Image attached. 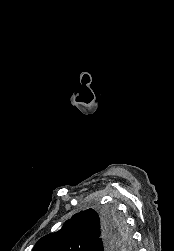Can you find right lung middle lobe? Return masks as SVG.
<instances>
[{
  "instance_id": "right-lung-middle-lobe-1",
  "label": "right lung middle lobe",
  "mask_w": 174,
  "mask_h": 251,
  "mask_svg": "<svg viewBox=\"0 0 174 251\" xmlns=\"http://www.w3.org/2000/svg\"><path fill=\"white\" fill-rule=\"evenodd\" d=\"M104 218L109 222L118 226L121 235L124 237V243L122 245V249H128L131 245L129 235L125 229L124 222L121 218H119L118 214L115 212L114 209H106L103 214Z\"/></svg>"
}]
</instances>
